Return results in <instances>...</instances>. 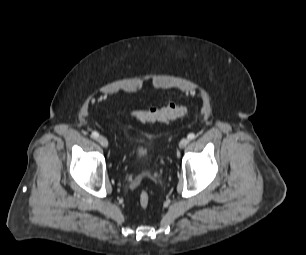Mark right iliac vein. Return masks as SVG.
<instances>
[{
	"label": "right iliac vein",
	"mask_w": 306,
	"mask_h": 255,
	"mask_svg": "<svg viewBox=\"0 0 306 255\" xmlns=\"http://www.w3.org/2000/svg\"><path fill=\"white\" fill-rule=\"evenodd\" d=\"M97 141L102 147H108V140L104 136L98 137Z\"/></svg>",
	"instance_id": "1"
}]
</instances>
